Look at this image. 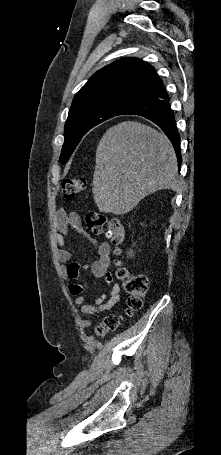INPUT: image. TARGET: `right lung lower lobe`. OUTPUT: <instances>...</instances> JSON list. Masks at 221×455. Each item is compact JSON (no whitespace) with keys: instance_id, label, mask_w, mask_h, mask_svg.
Wrapping results in <instances>:
<instances>
[{"instance_id":"98d812e1","label":"right lung lower lobe","mask_w":221,"mask_h":455,"mask_svg":"<svg viewBox=\"0 0 221 455\" xmlns=\"http://www.w3.org/2000/svg\"><path fill=\"white\" fill-rule=\"evenodd\" d=\"M120 115H139L157 124L173 144L178 166H180L182 161L179 148L180 136L176 128L174 113L169 106V97L160 79L148 95L124 109Z\"/></svg>"}]
</instances>
